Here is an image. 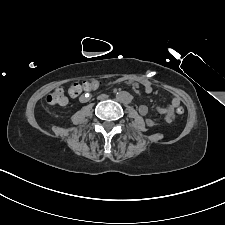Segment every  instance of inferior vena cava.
Wrapping results in <instances>:
<instances>
[{"instance_id":"inferior-vena-cava-1","label":"inferior vena cava","mask_w":225,"mask_h":225,"mask_svg":"<svg viewBox=\"0 0 225 225\" xmlns=\"http://www.w3.org/2000/svg\"><path fill=\"white\" fill-rule=\"evenodd\" d=\"M98 98H99V99H106V98H108V95L103 94V95H100Z\"/></svg>"}]
</instances>
